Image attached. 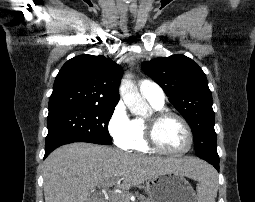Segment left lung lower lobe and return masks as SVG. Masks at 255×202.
I'll return each mask as SVG.
<instances>
[{
	"instance_id": "obj_1",
	"label": "left lung lower lobe",
	"mask_w": 255,
	"mask_h": 202,
	"mask_svg": "<svg viewBox=\"0 0 255 202\" xmlns=\"http://www.w3.org/2000/svg\"><path fill=\"white\" fill-rule=\"evenodd\" d=\"M206 160L208 163L212 164L217 170H219V161H213L212 159H204Z\"/></svg>"
}]
</instances>
